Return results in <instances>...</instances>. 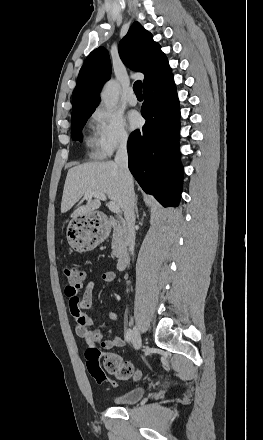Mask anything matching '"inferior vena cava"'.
<instances>
[{
  "label": "inferior vena cava",
  "mask_w": 263,
  "mask_h": 440,
  "mask_svg": "<svg viewBox=\"0 0 263 440\" xmlns=\"http://www.w3.org/2000/svg\"><path fill=\"white\" fill-rule=\"evenodd\" d=\"M114 161L119 168L122 178V203L124 217L127 223V242L129 250L131 254H133L135 246V193L132 175L128 168L127 137L122 138L120 141Z\"/></svg>",
  "instance_id": "602c4592"
}]
</instances>
